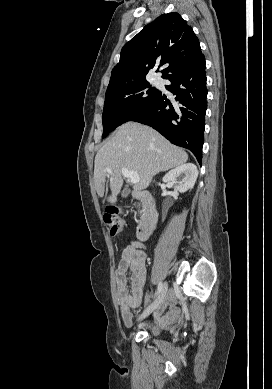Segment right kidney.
Returning a JSON list of instances; mask_svg holds the SVG:
<instances>
[{"label": "right kidney", "mask_w": 272, "mask_h": 389, "mask_svg": "<svg viewBox=\"0 0 272 389\" xmlns=\"http://www.w3.org/2000/svg\"><path fill=\"white\" fill-rule=\"evenodd\" d=\"M181 175H184V178L181 181H177V178ZM197 177V167L192 163H186L169 171L164 176L163 182H171L177 191L184 193L194 187Z\"/></svg>", "instance_id": "1"}]
</instances>
